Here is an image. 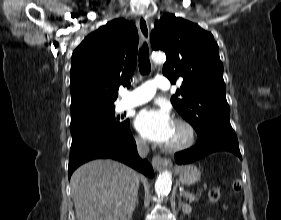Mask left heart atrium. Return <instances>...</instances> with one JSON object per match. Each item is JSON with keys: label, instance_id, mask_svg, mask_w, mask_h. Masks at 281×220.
I'll return each mask as SVG.
<instances>
[{"label": "left heart atrium", "instance_id": "obj_1", "mask_svg": "<svg viewBox=\"0 0 281 220\" xmlns=\"http://www.w3.org/2000/svg\"><path fill=\"white\" fill-rule=\"evenodd\" d=\"M174 122L166 109H143L135 118V127L147 140L165 144L172 132Z\"/></svg>", "mask_w": 281, "mask_h": 220}]
</instances>
